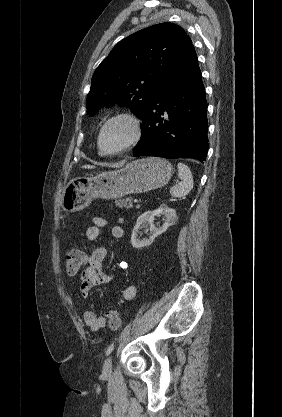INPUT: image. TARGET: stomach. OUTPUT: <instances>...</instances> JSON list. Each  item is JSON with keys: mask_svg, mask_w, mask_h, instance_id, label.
I'll return each instance as SVG.
<instances>
[{"mask_svg": "<svg viewBox=\"0 0 282 417\" xmlns=\"http://www.w3.org/2000/svg\"><path fill=\"white\" fill-rule=\"evenodd\" d=\"M173 172L169 160L148 156L128 162L124 168L73 178L63 190L61 206L67 213L86 209L93 198H120L131 192H147L165 186Z\"/></svg>", "mask_w": 282, "mask_h": 417, "instance_id": "obj_1", "label": "stomach"}]
</instances>
